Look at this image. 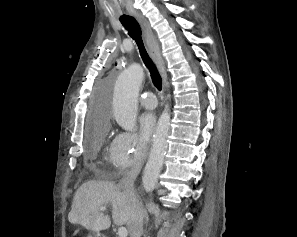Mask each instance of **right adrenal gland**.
Returning a JSON list of instances; mask_svg holds the SVG:
<instances>
[{"label": "right adrenal gland", "mask_w": 297, "mask_h": 237, "mask_svg": "<svg viewBox=\"0 0 297 237\" xmlns=\"http://www.w3.org/2000/svg\"><path fill=\"white\" fill-rule=\"evenodd\" d=\"M145 219H146V223H147L149 221V217H148L147 213L145 214Z\"/></svg>", "instance_id": "1"}]
</instances>
